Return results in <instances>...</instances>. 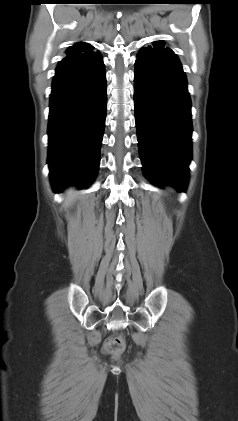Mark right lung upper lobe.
Returning a JSON list of instances; mask_svg holds the SVG:
<instances>
[{"label": "right lung upper lobe", "mask_w": 238, "mask_h": 421, "mask_svg": "<svg viewBox=\"0 0 238 421\" xmlns=\"http://www.w3.org/2000/svg\"><path fill=\"white\" fill-rule=\"evenodd\" d=\"M93 47L86 43H77L73 46H71L66 53L68 55H74V54H85V53H94Z\"/></svg>", "instance_id": "cb5924a9"}]
</instances>
